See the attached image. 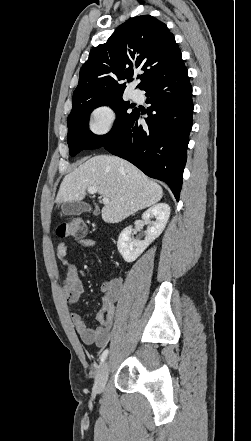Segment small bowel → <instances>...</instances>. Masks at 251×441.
Instances as JSON below:
<instances>
[{
  "instance_id": "1",
  "label": "small bowel",
  "mask_w": 251,
  "mask_h": 441,
  "mask_svg": "<svg viewBox=\"0 0 251 441\" xmlns=\"http://www.w3.org/2000/svg\"><path fill=\"white\" fill-rule=\"evenodd\" d=\"M79 243L85 248H93V239H82ZM57 256L65 267V277L61 289L68 308L75 331L81 341L86 345L105 346L112 335L115 327L116 303L122 291V280L113 278L103 282L101 286V306L96 314L99 326L88 327L79 312L76 311V303L84 291V286L78 267L68 260V248L64 243L57 247Z\"/></svg>"
}]
</instances>
